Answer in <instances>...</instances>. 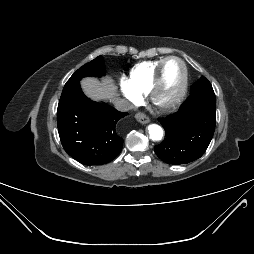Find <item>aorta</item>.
I'll return each instance as SVG.
<instances>
[{"label": "aorta", "instance_id": "obj_1", "mask_svg": "<svg viewBox=\"0 0 254 254\" xmlns=\"http://www.w3.org/2000/svg\"><path fill=\"white\" fill-rule=\"evenodd\" d=\"M148 133L150 139L153 141H159L163 137V130L162 128L157 124H151L148 126Z\"/></svg>", "mask_w": 254, "mask_h": 254}]
</instances>
